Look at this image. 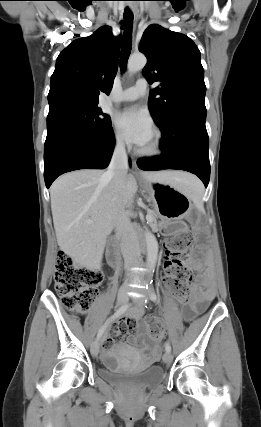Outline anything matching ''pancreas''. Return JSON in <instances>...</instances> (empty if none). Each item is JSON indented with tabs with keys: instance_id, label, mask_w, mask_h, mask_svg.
Segmentation results:
<instances>
[{
	"instance_id": "1",
	"label": "pancreas",
	"mask_w": 261,
	"mask_h": 427,
	"mask_svg": "<svg viewBox=\"0 0 261 427\" xmlns=\"http://www.w3.org/2000/svg\"><path fill=\"white\" fill-rule=\"evenodd\" d=\"M149 215V221H150V226L155 229L157 227V214L154 211H150L148 212Z\"/></svg>"
}]
</instances>
